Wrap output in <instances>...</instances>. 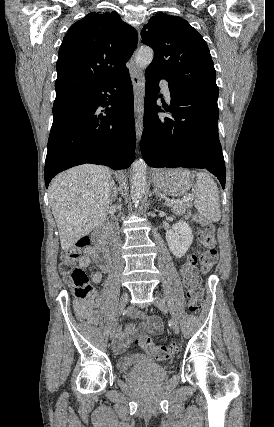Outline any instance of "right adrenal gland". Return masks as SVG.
<instances>
[{
	"instance_id": "right-adrenal-gland-1",
	"label": "right adrenal gland",
	"mask_w": 274,
	"mask_h": 427,
	"mask_svg": "<svg viewBox=\"0 0 274 427\" xmlns=\"http://www.w3.org/2000/svg\"><path fill=\"white\" fill-rule=\"evenodd\" d=\"M113 186H114V192H112V196H111V200H115L118 192L116 190V186H115V182H112Z\"/></svg>"
}]
</instances>
